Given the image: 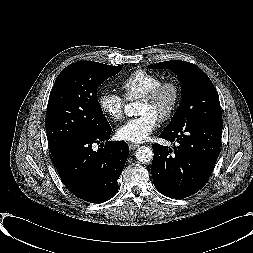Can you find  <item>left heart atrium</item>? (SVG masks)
Listing matches in <instances>:
<instances>
[{
    "label": "left heart atrium",
    "mask_w": 253,
    "mask_h": 253,
    "mask_svg": "<svg viewBox=\"0 0 253 253\" xmlns=\"http://www.w3.org/2000/svg\"><path fill=\"white\" fill-rule=\"evenodd\" d=\"M156 126L157 119L149 114H143L127 120L116 130V136L123 141L140 143L149 138Z\"/></svg>",
    "instance_id": "left-heart-atrium-1"
}]
</instances>
